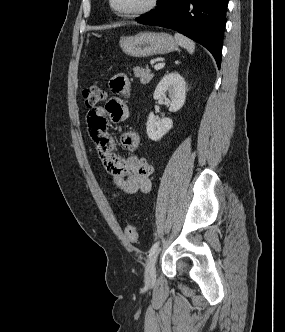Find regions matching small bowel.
I'll list each match as a JSON object with an SVG mask.
<instances>
[{"mask_svg":"<svg viewBox=\"0 0 285 332\" xmlns=\"http://www.w3.org/2000/svg\"><path fill=\"white\" fill-rule=\"evenodd\" d=\"M110 89L118 96L130 93V81L123 73L114 75L109 82ZM121 97L111 98L103 108H95L87 114L89 136L94 142L113 185L125 194L148 193L151 189L153 166L136 153L139 136L133 131L123 132L120 146L128 153L122 156L116 149L113 138L107 133L108 121L117 124L128 117V107Z\"/></svg>","mask_w":285,"mask_h":332,"instance_id":"obj_1","label":"small bowel"}]
</instances>
